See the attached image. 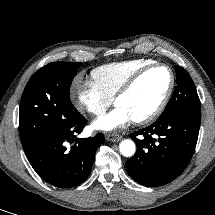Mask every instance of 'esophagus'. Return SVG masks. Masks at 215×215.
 I'll return each mask as SVG.
<instances>
[{
  "mask_svg": "<svg viewBox=\"0 0 215 215\" xmlns=\"http://www.w3.org/2000/svg\"><path fill=\"white\" fill-rule=\"evenodd\" d=\"M106 140L111 141V142H117L122 139V136L119 134H107L105 136Z\"/></svg>",
  "mask_w": 215,
  "mask_h": 215,
  "instance_id": "1",
  "label": "esophagus"
}]
</instances>
